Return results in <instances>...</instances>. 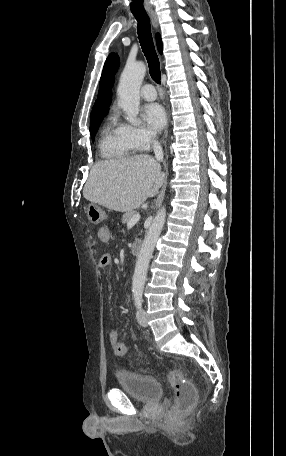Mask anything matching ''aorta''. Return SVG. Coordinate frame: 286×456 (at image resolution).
I'll list each match as a JSON object with an SVG mask.
<instances>
[{"label": "aorta", "instance_id": "aorta-1", "mask_svg": "<svg viewBox=\"0 0 286 456\" xmlns=\"http://www.w3.org/2000/svg\"><path fill=\"white\" fill-rule=\"evenodd\" d=\"M145 73V64L143 62H135L126 65L120 77L117 89L118 104L125 111L127 121L132 124H138L139 90ZM165 219L166 209L163 206L154 217L139 251L132 278L133 291H142L144 288L149 262L164 226Z\"/></svg>", "mask_w": 286, "mask_h": 456}]
</instances>
